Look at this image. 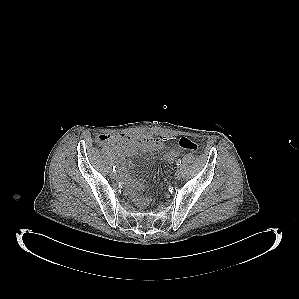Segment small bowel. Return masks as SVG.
<instances>
[{"label":"small bowel","mask_w":299,"mask_h":299,"mask_svg":"<svg viewBox=\"0 0 299 299\" xmlns=\"http://www.w3.org/2000/svg\"><path fill=\"white\" fill-rule=\"evenodd\" d=\"M167 139L150 135L102 134L100 144L111 147L118 155L123 179L134 188H141L144 180L132 176L133 164L128 159L138 152L154 151L163 148ZM179 156L177 149L167 151L164 161L172 164Z\"/></svg>","instance_id":"small-bowel-1"}]
</instances>
